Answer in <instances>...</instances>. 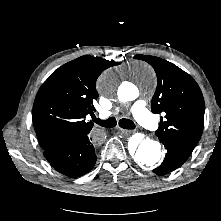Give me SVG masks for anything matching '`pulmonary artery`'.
I'll return each mask as SVG.
<instances>
[{"label": "pulmonary artery", "mask_w": 221, "mask_h": 221, "mask_svg": "<svg viewBox=\"0 0 221 221\" xmlns=\"http://www.w3.org/2000/svg\"><path fill=\"white\" fill-rule=\"evenodd\" d=\"M131 110H132L133 114L135 115V117L137 118V120L143 126H145L146 128H148L149 130H152V131L158 130L159 122L151 113H149L147 111L144 102H142V101L135 102L132 105ZM110 115H111V113L107 112V111H103L101 113L102 118L109 117Z\"/></svg>", "instance_id": "obj_1"}]
</instances>
